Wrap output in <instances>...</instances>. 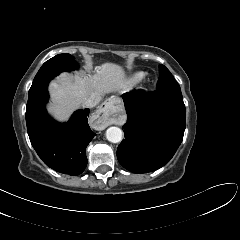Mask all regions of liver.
I'll list each match as a JSON object with an SVG mask.
<instances>
[{"mask_svg":"<svg viewBox=\"0 0 240 240\" xmlns=\"http://www.w3.org/2000/svg\"><path fill=\"white\" fill-rule=\"evenodd\" d=\"M127 84L124 69L114 63L95 67L94 75L71 77L62 73L49 86L52 102L48 111L57 120L65 121L86 99L95 96L101 100L104 94L122 92Z\"/></svg>","mask_w":240,"mask_h":240,"instance_id":"liver-1","label":"liver"}]
</instances>
